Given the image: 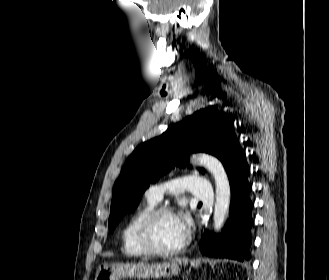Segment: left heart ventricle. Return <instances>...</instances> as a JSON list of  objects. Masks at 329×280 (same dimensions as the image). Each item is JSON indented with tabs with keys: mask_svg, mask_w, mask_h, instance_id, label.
<instances>
[{
	"mask_svg": "<svg viewBox=\"0 0 329 280\" xmlns=\"http://www.w3.org/2000/svg\"><path fill=\"white\" fill-rule=\"evenodd\" d=\"M184 238L175 215L162 214L156 219L153 225V239L158 247L163 249L174 248Z\"/></svg>",
	"mask_w": 329,
	"mask_h": 280,
	"instance_id": "left-heart-ventricle-1",
	"label": "left heart ventricle"
}]
</instances>
